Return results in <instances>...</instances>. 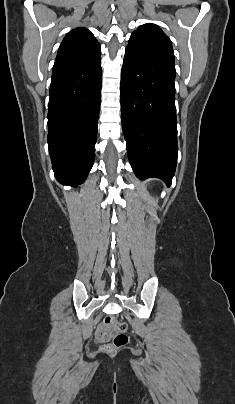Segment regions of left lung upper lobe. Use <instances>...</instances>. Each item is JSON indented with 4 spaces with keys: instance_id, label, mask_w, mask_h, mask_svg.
I'll use <instances>...</instances> for the list:
<instances>
[{
    "instance_id": "obj_1",
    "label": "left lung upper lobe",
    "mask_w": 235,
    "mask_h": 404,
    "mask_svg": "<svg viewBox=\"0 0 235 404\" xmlns=\"http://www.w3.org/2000/svg\"><path fill=\"white\" fill-rule=\"evenodd\" d=\"M127 48L140 51L174 66L171 41L155 24H144L135 30L129 39Z\"/></svg>"
}]
</instances>
